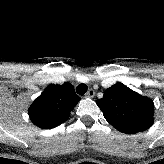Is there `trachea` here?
<instances>
[{
  "mask_svg": "<svg viewBox=\"0 0 164 164\" xmlns=\"http://www.w3.org/2000/svg\"><path fill=\"white\" fill-rule=\"evenodd\" d=\"M87 88H88L87 85H85V84H79L76 87V92L79 95H84L87 92Z\"/></svg>",
  "mask_w": 164,
  "mask_h": 164,
  "instance_id": "1",
  "label": "trachea"
}]
</instances>
